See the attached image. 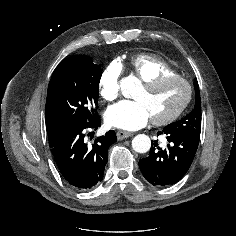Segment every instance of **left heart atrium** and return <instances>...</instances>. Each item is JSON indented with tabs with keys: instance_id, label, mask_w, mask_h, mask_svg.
Segmentation results:
<instances>
[{
	"instance_id": "obj_1",
	"label": "left heart atrium",
	"mask_w": 236,
	"mask_h": 236,
	"mask_svg": "<svg viewBox=\"0 0 236 236\" xmlns=\"http://www.w3.org/2000/svg\"><path fill=\"white\" fill-rule=\"evenodd\" d=\"M150 114L140 100H124L110 107L106 113L109 125L124 129L137 130L147 124Z\"/></svg>"
}]
</instances>
